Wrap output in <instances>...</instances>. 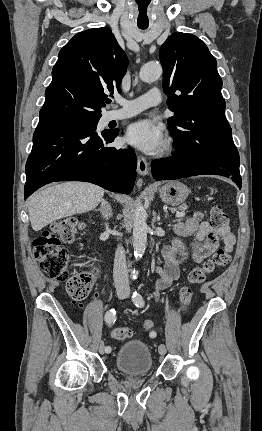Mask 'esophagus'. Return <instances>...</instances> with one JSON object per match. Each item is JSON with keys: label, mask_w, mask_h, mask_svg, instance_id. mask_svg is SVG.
Wrapping results in <instances>:
<instances>
[{"label": "esophagus", "mask_w": 262, "mask_h": 431, "mask_svg": "<svg viewBox=\"0 0 262 431\" xmlns=\"http://www.w3.org/2000/svg\"><path fill=\"white\" fill-rule=\"evenodd\" d=\"M149 171L147 160L143 156L137 157V172L140 176H146Z\"/></svg>", "instance_id": "1"}]
</instances>
